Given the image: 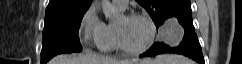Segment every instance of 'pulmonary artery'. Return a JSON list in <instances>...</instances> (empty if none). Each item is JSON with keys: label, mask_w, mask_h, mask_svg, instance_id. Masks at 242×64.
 <instances>
[{"label": "pulmonary artery", "mask_w": 242, "mask_h": 64, "mask_svg": "<svg viewBox=\"0 0 242 64\" xmlns=\"http://www.w3.org/2000/svg\"><path fill=\"white\" fill-rule=\"evenodd\" d=\"M113 3L120 9H125L128 4V0H113Z\"/></svg>", "instance_id": "1"}]
</instances>
